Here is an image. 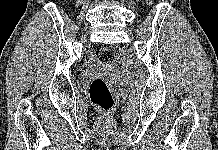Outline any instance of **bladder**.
<instances>
[{
    "mask_svg": "<svg viewBox=\"0 0 218 150\" xmlns=\"http://www.w3.org/2000/svg\"><path fill=\"white\" fill-rule=\"evenodd\" d=\"M99 69L103 70V71H108L110 70V66L107 65V64H100V65H97Z\"/></svg>",
    "mask_w": 218,
    "mask_h": 150,
    "instance_id": "obj_1",
    "label": "bladder"
}]
</instances>
